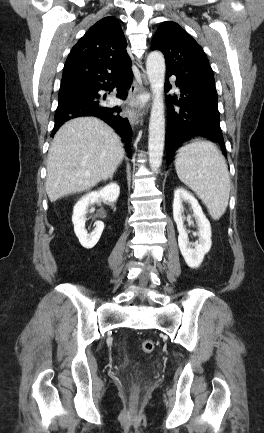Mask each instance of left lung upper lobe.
Here are the masks:
<instances>
[{
    "instance_id": "5c2ea615",
    "label": "left lung upper lobe",
    "mask_w": 264,
    "mask_h": 433,
    "mask_svg": "<svg viewBox=\"0 0 264 433\" xmlns=\"http://www.w3.org/2000/svg\"><path fill=\"white\" fill-rule=\"evenodd\" d=\"M151 48L162 51L166 69L176 76L186 81L215 85L206 54L179 24L163 22L153 37Z\"/></svg>"
}]
</instances>
